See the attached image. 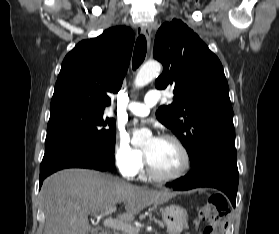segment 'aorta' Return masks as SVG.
Returning <instances> with one entry per match:
<instances>
[{"instance_id":"1","label":"aorta","mask_w":279,"mask_h":234,"mask_svg":"<svg viewBox=\"0 0 279 234\" xmlns=\"http://www.w3.org/2000/svg\"><path fill=\"white\" fill-rule=\"evenodd\" d=\"M161 72V64L159 62H147L145 63L135 78L134 84L136 87H143L150 83L155 77L159 75ZM149 131L141 129V130H134L132 143H142L149 135Z\"/></svg>"}]
</instances>
